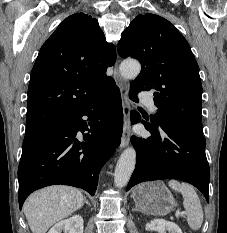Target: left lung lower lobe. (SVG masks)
Listing matches in <instances>:
<instances>
[{"label":"left lung lower lobe","mask_w":227,"mask_h":233,"mask_svg":"<svg viewBox=\"0 0 227 233\" xmlns=\"http://www.w3.org/2000/svg\"><path fill=\"white\" fill-rule=\"evenodd\" d=\"M129 97L138 102L136 92L130 90ZM130 119L132 124H144L151 136L131 137L137 159L126 190L144 181L176 179L197 187L209 202L210 169L203 135L168 120L152 126L141 121L140 115L134 110L131 111Z\"/></svg>","instance_id":"obj_1"}]
</instances>
